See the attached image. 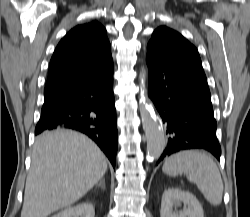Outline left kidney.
<instances>
[{
	"mask_svg": "<svg viewBox=\"0 0 250 217\" xmlns=\"http://www.w3.org/2000/svg\"><path fill=\"white\" fill-rule=\"evenodd\" d=\"M181 203H184V209L176 212L174 209ZM160 216L204 217V212L200 202L193 194L179 188H168L162 195Z\"/></svg>",
	"mask_w": 250,
	"mask_h": 217,
	"instance_id": "1",
	"label": "left kidney"
}]
</instances>
